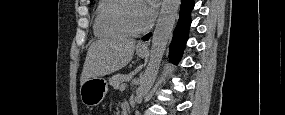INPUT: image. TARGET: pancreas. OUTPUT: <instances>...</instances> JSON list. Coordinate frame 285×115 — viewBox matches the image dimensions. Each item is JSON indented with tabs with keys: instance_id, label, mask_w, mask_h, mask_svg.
Masks as SVG:
<instances>
[{
	"instance_id": "pancreas-1",
	"label": "pancreas",
	"mask_w": 285,
	"mask_h": 115,
	"mask_svg": "<svg viewBox=\"0 0 285 115\" xmlns=\"http://www.w3.org/2000/svg\"><path fill=\"white\" fill-rule=\"evenodd\" d=\"M133 75H134L133 72L128 75L116 74L112 76L111 78H109V84L113 88L118 89L121 87L123 82L129 80Z\"/></svg>"
}]
</instances>
